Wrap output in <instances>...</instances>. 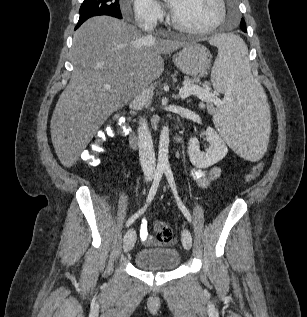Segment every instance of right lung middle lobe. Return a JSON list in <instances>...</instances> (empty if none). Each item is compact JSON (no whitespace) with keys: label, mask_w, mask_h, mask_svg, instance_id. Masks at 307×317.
Segmentation results:
<instances>
[{"label":"right lung middle lobe","mask_w":307,"mask_h":317,"mask_svg":"<svg viewBox=\"0 0 307 317\" xmlns=\"http://www.w3.org/2000/svg\"><path fill=\"white\" fill-rule=\"evenodd\" d=\"M98 15H109L121 19L119 0H84L80 7L79 21Z\"/></svg>","instance_id":"1"}]
</instances>
